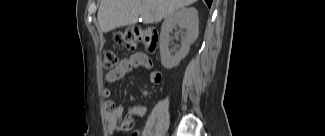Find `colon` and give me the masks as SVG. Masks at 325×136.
Instances as JSON below:
<instances>
[{"label": "colon", "instance_id": "obj_1", "mask_svg": "<svg viewBox=\"0 0 325 136\" xmlns=\"http://www.w3.org/2000/svg\"><path fill=\"white\" fill-rule=\"evenodd\" d=\"M115 43L126 50L134 51L143 46L149 52H155L158 43V34L153 27L132 26L116 33ZM119 58L113 50H107L103 57V68L113 70L119 64ZM133 136H138L134 134Z\"/></svg>", "mask_w": 325, "mask_h": 136}]
</instances>
